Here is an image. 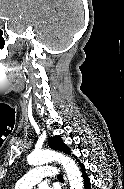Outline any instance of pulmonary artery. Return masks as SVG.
Returning a JSON list of instances; mask_svg holds the SVG:
<instances>
[{"mask_svg": "<svg viewBox=\"0 0 124 189\" xmlns=\"http://www.w3.org/2000/svg\"><path fill=\"white\" fill-rule=\"evenodd\" d=\"M57 176V169L53 166L38 167L30 170L26 175L20 178L15 188L17 189H31L46 178H54Z\"/></svg>", "mask_w": 124, "mask_h": 189, "instance_id": "pulmonary-artery-1", "label": "pulmonary artery"}]
</instances>
